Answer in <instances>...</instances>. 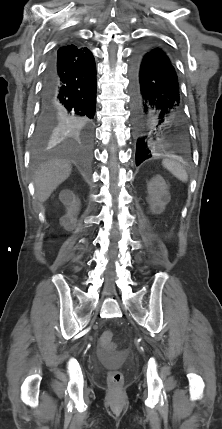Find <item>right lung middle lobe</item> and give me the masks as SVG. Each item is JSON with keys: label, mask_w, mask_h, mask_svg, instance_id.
Instances as JSON below:
<instances>
[{"label": "right lung middle lobe", "mask_w": 222, "mask_h": 429, "mask_svg": "<svg viewBox=\"0 0 222 429\" xmlns=\"http://www.w3.org/2000/svg\"><path fill=\"white\" fill-rule=\"evenodd\" d=\"M56 137V133H54V129H47L38 127L36 129L35 134V146L37 149L43 147L48 143L49 140Z\"/></svg>", "instance_id": "right-lung-middle-lobe-1"}]
</instances>
